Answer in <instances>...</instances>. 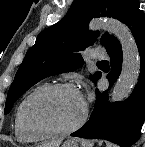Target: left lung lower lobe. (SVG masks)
<instances>
[{"label": "left lung lower lobe", "instance_id": "left-lung-lower-lobe-1", "mask_svg": "<svg viewBox=\"0 0 145 147\" xmlns=\"http://www.w3.org/2000/svg\"><path fill=\"white\" fill-rule=\"evenodd\" d=\"M139 7L138 0H131L123 18V23L130 28L140 53L141 71L137 85L127 100L113 104L108 102L107 90L101 93L97 90V99L89 121L71 136L106 139L121 147H130L138 140L145 119V14ZM106 51L111 62V71L107 78L109 86H112L121 73L123 53L116 38ZM100 78L101 75L98 79Z\"/></svg>", "mask_w": 145, "mask_h": 147}]
</instances>
